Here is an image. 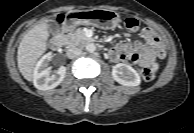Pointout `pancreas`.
<instances>
[{"instance_id": "1", "label": "pancreas", "mask_w": 194, "mask_h": 133, "mask_svg": "<svg viewBox=\"0 0 194 133\" xmlns=\"http://www.w3.org/2000/svg\"><path fill=\"white\" fill-rule=\"evenodd\" d=\"M63 38L68 47L83 45L90 40L85 36L84 31L81 28L77 29L75 32L63 35Z\"/></svg>"}]
</instances>
